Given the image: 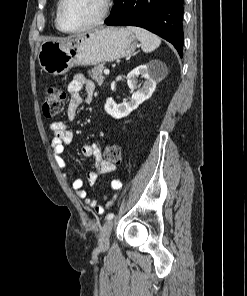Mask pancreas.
Instances as JSON below:
<instances>
[{
	"mask_svg": "<svg viewBox=\"0 0 247 296\" xmlns=\"http://www.w3.org/2000/svg\"><path fill=\"white\" fill-rule=\"evenodd\" d=\"M104 64H99L92 68L88 74L89 76L95 80L98 84H102L105 77L103 76Z\"/></svg>",
	"mask_w": 247,
	"mask_h": 296,
	"instance_id": "obj_1",
	"label": "pancreas"
}]
</instances>
